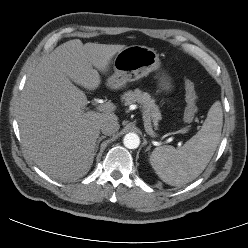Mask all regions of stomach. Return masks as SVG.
Masks as SVG:
<instances>
[{
  "label": "stomach",
  "instance_id": "0dacf381",
  "mask_svg": "<svg viewBox=\"0 0 248 248\" xmlns=\"http://www.w3.org/2000/svg\"><path fill=\"white\" fill-rule=\"evenodd\" d=\"M160 68L159 54L152 48L132 45L124 48L114 58V73L107 80L113 89L123 87L127 82L136 81ZM158 85L162 90L170 91L171 82L165 75L158 77Z\"/></svg>",
  "mask_w": 248,
  "mask_h": 248
}]
</instances>
